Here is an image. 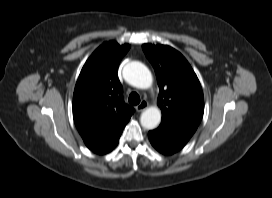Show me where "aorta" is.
<instances>
[{
  "label": "aorta",
  "instance_id": "obj_1",
  "mask_svg": "<svg viewBox=\"0 0 272 198\" xmlns=\"http://www.w3.org/2000/svg\"><path fill=\"white\" fill-rule=\"evenodd\" d=\"M124 79L134 87L147 89L152 85V74L141 62L132 61L123 69ZM161 121V111L157 107L147 108L140 117L143 128L151 130L156 128Z\"/></svg>",
  "mask_w": 272,
  "mask_h": 198
}]
</instances>
